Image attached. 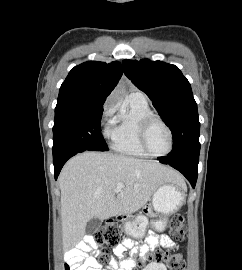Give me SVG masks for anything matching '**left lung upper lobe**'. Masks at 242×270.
Segmentation results:
<instances>
[{"label": "left lung upper lobe", "instance_id": "5c2ea615", "mask_svg": "<svg viewBox=\"0 0 242 270\" xmlns=\"http://www.w3.org/2000/svg\"><path fill=\"white\" fill-rule=\"evenodd\" d=\"M125 75L152 100L173 135L169 159H180L200 152L197 104L191 85L181 71L160 61L124 60Z\"/></svg>", "mask_w": 242, "mask_h": 270}]
</instances>
